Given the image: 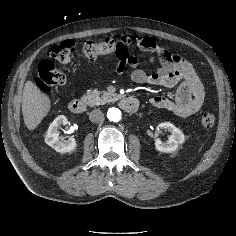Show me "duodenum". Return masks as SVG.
Segmentation results:
<instances>
[{
	"label": "duodenum",
	"instance_id": "1",
	"mask_svg": "<svg viewBox=\"0 0 236 236\" xmlns=\"http://www.w3.org/2000/svg\"><path fill=\"white\" fill-rule=\"evenodd\" d=\"M120 107L128 113H135L139 108V101L134 97H123L119 102ZM69 108L73 113H84L88 108V102L84 99H73Z\"/></svg>",
	"mask_w": 236,
	"mask_h": 236
}]
</instances>
